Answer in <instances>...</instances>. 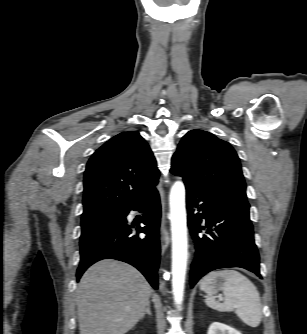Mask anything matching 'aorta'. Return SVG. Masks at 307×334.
<instances>
[{"instance_id": "aorta-1", "label": "aorta", "mask_w": 307, "mask_h": 334, "mask_svg": "<svg viewBox=\"0 0 307 334\" xmlns=\"http://www.w3.org/2000/svg\"><path fill=\"white\" fill-rule=\"evenodd\" d=\"M170 220L172 232V292L177 307L184 297L188 259L185 186L176 181L170 190Z\"/></svg>"}]
</instances>
